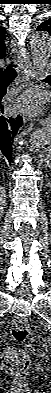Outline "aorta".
<instances>
[{"mask_svg":"<svg viewBox=\"0 0 51 393\" xmlns=\"http://www.w3.org/2000/svg\"><path fill=\"white\" fill-rule=\"evenodd\" d=\"M33 65L41 77L46 74L45 66L51 55V38L45 32L32 34L30 38ZM51 141V128L43 127L37 130L32 137L35 146H46Z\"/></svg>","mask_w":51,"mask_h":393,"instance_id":"obj_1","label":"aorta"}]
</instances>
